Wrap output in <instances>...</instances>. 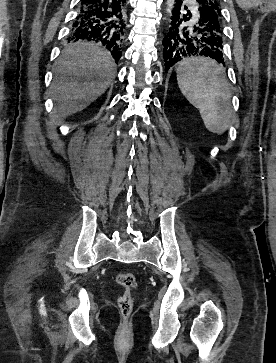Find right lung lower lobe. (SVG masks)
<instances>
[{
	"mask_svg": "<svg viewBox=\"0 0 276 363\" xmlns=\"http://www.w3.org/2000/svg\"><path fill=\"white\" fill-rule=\"evenodd\" d=\"M127 0H80L69 41L102 43L118 61L127 33Z\"/></svg>",
	"mask_w": 276,
	"mask_h": 363,
	"instance_id": "1",
	"label": "right lung lower lobe"
}]
</instances>
